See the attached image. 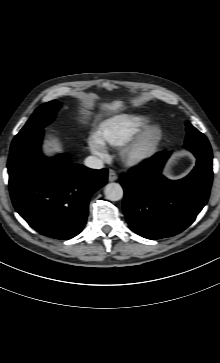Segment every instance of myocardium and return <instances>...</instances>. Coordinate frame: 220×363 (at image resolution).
I'll return each mask as SVG.
<instances>
[{
    "label": "myocardium",
    "mask_w": 220,
    "mask_h": 363,
    "mask_svg": "<svg viewBox=\"0 0 220 363\" xmlns=\"http://www.w3.org/2000/svg\"><path fill=\"white\" fill-rule=\"evenodd\" d=\"M162 138L160 126L144 129L124 145L120 153L122 161L132 167L148 163L155 156Z\"/></svg>",
    "instance_id": "obj_1"
}]
</instances>
